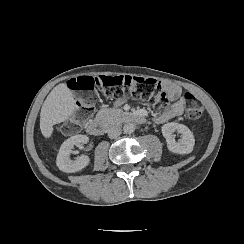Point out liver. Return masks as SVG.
Here are the masks:
<instances>
[{
    "label": "liver",
    "mask_w": 244,
    "mask_h": 244,
    "mask_svg": "<svg viewBox=\"0 0 244 244\" xmlns=\"http://www.w3.org/2000/svg\"><path fill=\"white\" fill-rule=\"evenodd\" d=\"M76 110V99L65 83L55 86L47 96L40 110V132L49 140L54 126L66 121Z\"/></svg>",
    "instance_id": "obj_1"
}]
</instances>
